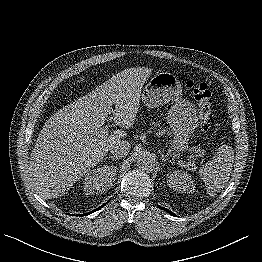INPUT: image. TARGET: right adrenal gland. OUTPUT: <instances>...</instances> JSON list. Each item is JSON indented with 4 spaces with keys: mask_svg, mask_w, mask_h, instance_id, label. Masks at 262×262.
I'll return each instance as SVG.
<instances>
[{
    "mask_svg": "<svg viewBox=\"0 0 262 262\" xmlns=\"http://www.w3.org/2000/svg\"><path fill=\"white\" fill-rule=\"evenodd\" d=\"M105 159H111V161L114 162V160H117L118 158L114 156H109V157H106Z\"/></svg>",
    "mask_w": 262,
    "mask_h": 262,
    "instance_id": "right-adrenal-gland-1",
    "label": "right adrenal gland"
}]
</instances>
